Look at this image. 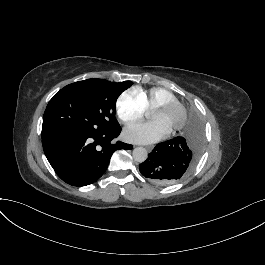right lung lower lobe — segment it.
Masks as SVG:
<instances>
[{"label": "right lung lower lobe", "instance_id": "98d812e1", "mask_svg": "<svg viewBox=\"0 0 265 265\" xmlns=\"http://www.w3.org/2000/svg\"><path fill=\"white\" fill-rule=\"evenodd\" d=\"M121 128L105 133H61L42 139L44 153L57 175L72 186H86L99 179L107 170L111 155L133 146L120 141ZM101 150H97V146Z\"/></svg>", "mask_w": 265, "mask_h": 265}]
</instances>
